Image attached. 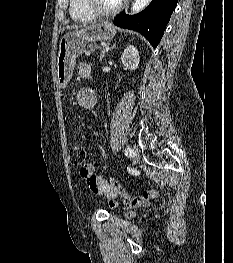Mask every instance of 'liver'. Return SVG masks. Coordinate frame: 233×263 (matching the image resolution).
I'll return each mask as SVG.
<instances>
[{
	"label": "liver",
	"mask_w": 233,
	"mask_h": 263,
	"mask_svg": "<svg viewBox=\"0 0 233 263\" xmlns=\"http://www.w3.org/2000/svg\"><path fill=\"white\" fill-rule=\"evenodd\" d=\"M82 27L81 25H71V26H67L65 29H78Z\"/></svg>",
	"instance_id": "obj_1"
}]
</instances>
